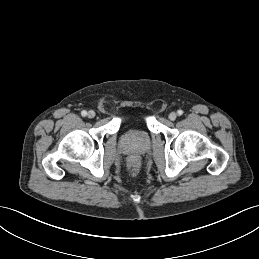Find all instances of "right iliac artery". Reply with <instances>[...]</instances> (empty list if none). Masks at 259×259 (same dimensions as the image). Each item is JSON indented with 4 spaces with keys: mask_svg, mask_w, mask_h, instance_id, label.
<instances>
[{
    "mask_svg": "<svg viewBox=\"0 0 259 259\" xmlns=\"http://www.w3.org/2000/svg\"><path fill=\"white\" fill-rule=\"evenodd\" d=\"M81 115H82L83 117H85V116L87 115V111L83 110V111L81 112Z\"/></svg>",
    "mask_w": 259,
    "mask_h": 259,
    "instance_id": "right-iliac-artery-1",
    "label": "right iliac artery"
}]
</instances>
